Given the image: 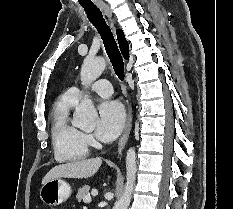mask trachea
I'll use <instances>...</instances> for the list:
<instances>
[{
  "mask_svg": "<svg viewBox=\"0 0 233 209\" xmlns=\"http://www.w3.org/2000/svg\"><path fill=\"white\" fill-rule=\"evenodd\" d=\"M89 21L95 26L102 37L106 53L112 63L113 69L119 80L123 81L125 77L124 62L117 43L111 32V29L106 24L102 12L96 6H83Z\"/></svg>",
  "mask_w": 233,
  "mask_h": 209,
  "instance_id": "3493384b",
  "label": "trachea"
}]
</instances>
